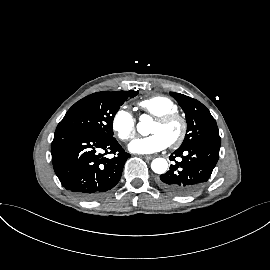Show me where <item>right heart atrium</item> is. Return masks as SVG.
Masks as SVG:
<instances>
[{
	"label": "right heart atrium",
	"mask_w": 270,
	"mask_h": 270,
	"mask_svg": "<svg viewBox=\"0 0 270 270\" xmlns=\"http://www.w3.org/2000/svg\"><path fill=\"white\" fill-rule=\"evenodd\" d=\"M111 128L120 140L127 141L136 132V119L128 109L121 107L111 118Z\"/></svg>",
	"instance_id": "obj_1"
}]
</instances>
